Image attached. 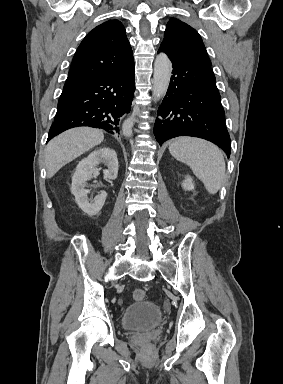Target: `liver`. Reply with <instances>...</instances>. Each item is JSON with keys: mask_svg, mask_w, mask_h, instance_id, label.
Instances as JSON below:
<instances>
[{"mask_svg": "<svg viewBox=\"0 0 283 384\" xmlns=\"http://www.w3.org/2000/svg\"><path fill=\"white\" fill-rule=\"evenodd\" d=\"M103 140L102 130L95 128H73L53 138L45 152L47 178H52L62 166L69 164L91 148L99 146Z\"/></svg>", "mask_w": 283, "mask_h": 384, "instance_id": "liver-1", "label": "liver"}]
</instances>
